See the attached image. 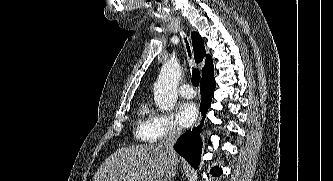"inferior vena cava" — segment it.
<instances>
[{
	"label": "inferior vena cava",
	"instance_id": "obj_1",
	"mask_svg": "<svg viewBox=\"0 0 333 181\" xmlns=\"http://www.w3.org/2000/svg\"><path fill=\"white\" fill-rule=\"evenodd\" d=\"M181 135V128L178 126H173L168 135L162 140L161 146L165 149L166 153L168 154L170 160V166L166 175V181H173V177L175 176L176 171V153L174 151V145L177 139Z\"/></svg>",
	"mask_w": 333,
	"mask_h": 181
}]
</instances>
